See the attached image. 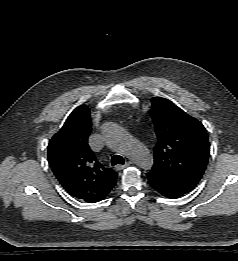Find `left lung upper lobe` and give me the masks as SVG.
Masks as SVG:
<instances>
[{
	"label": "left lung upper lobe",
	"mask_w": 238,
	"mask_h": 261,
	"mask_svg": "<svg viewBox=\"0 0 238 261\" xmlns=\"http://www.w3.org/2000/svg\"><path fill=\"white\" fill-rule=\"evenodd\" d=\"M152 116L158 143L154 165L147 174L169 189L186 194L200 181L210 155L207 131L200 121L171 101L151 99Z\"/></svg>",
	"instance_id": "obj_1"
}]
</instances>
